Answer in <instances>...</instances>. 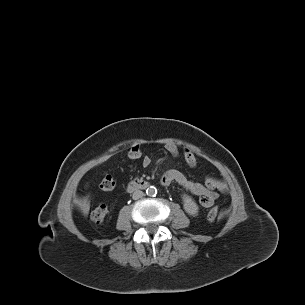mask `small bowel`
<instances>
[{"label":"small bowel","mask_w":305,"mask_h":305,"mask_svg":"<svg viewBox=\"0 0 305 305\" xmlns=\"http://www.w3.org/2000/svg\"><path fill=\"white\" fill-rule=\"evenodd\" d=\"M165 149L173 158L176 159L179 157L180 153L178 147L174 143H167L165 145ZM182 156L189 167H196L197 159L195 153L191 149L184 148ZM150 163L151 159L148 156L142 157V165L144 167L149 166ZM160 181L161 184L164 186H168L171 183L179 184L180 186L197 196L199 198L200 204L205 208L213 206L215 200L218 198L217 191L223 194L227 193L226 184L213 174H208L205 178L204 183H199L190 181L182 172L177 169H170L162 175Z\"/></svg>","instance_id":"small-bowel-1"}]
</instances>
